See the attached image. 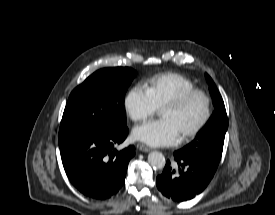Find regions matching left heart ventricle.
I'll use <instances>...</instances> for the list:
<instances>
[{
    "label": "left heart ventricle",
    "instance_id": "obj_1",
    "mask_svg": "<svg viewBox=\"0 0 275 215\" xmlns=\"http://www.w3.org/2000/svg\"><path fill=\"white\" fill-rule=\"evenodd\" d=\"M205 113V100L202 96H194L180 108H163L160 115L163 119H168L176 126L182 137L194 128Z\"/></svg>",
    "mask_w": 275,
    "mask_h": 215
}]
</instances>
